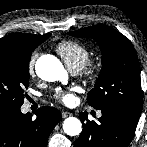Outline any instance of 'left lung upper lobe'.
<instances>
[{"mask_svg": "<svg viewBox=\"0 0 147 147\" xmlns=\"http://www.w3.org/2000/svg\"><path fill=\"white\" fill-rule=\"evenodd\" d=\"M95 39L102 52V70L87 102L95 109L116 108L139 118L143 105L140 65L131 41L101 24L69 32Z\"/></svg>", "mask_w": 147, "mask_h": 147, "instance_id": "obj_1", "label": "left lung upper lobe"}]
</instances>
